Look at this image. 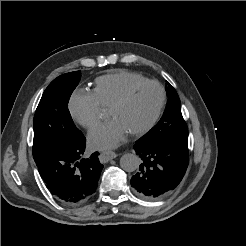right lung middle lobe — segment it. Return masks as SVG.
Instances as JSON below:
<instances>
[{
	"label": "right lung middle lobe",
	"mask_w": 246,
	"mask_h": 246,
	"mask_svg": "<svg viewBox=\"0 0 246 246\" xmlns=\"http://www.w3.org/2000/svg\"><path fill=\"white\" fill-rule=\"evenodd\" d=\"M80 77V71L63 74L44 91L33 120V157L51 145L72 140L80 133L68 110L70 96Z\"/></svg>",
	"instance_id": "dd1d6c3e"
}]
</instances>
